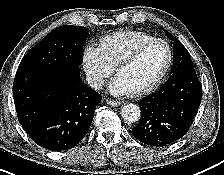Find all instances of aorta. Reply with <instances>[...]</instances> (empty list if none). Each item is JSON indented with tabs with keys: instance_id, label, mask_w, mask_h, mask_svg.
<instances>
[{
	"instance_id": "obj_1",
	"label": "aorta",
	"mask_w": 224,
	"mask_h": 175,
	"mask_svg": "<svg viewBox=\"0 0 224 175\" xmlns=\"http://www.w3.org/2000/svg\"><path fill=\"white\" fill-rule=\"evenodd\" d=\"M121 116L126 121L133 123L140 118L141 111L138 105L130 103L123 106Z\"/></svg>"
}]
</instances>
